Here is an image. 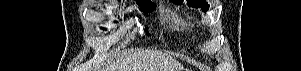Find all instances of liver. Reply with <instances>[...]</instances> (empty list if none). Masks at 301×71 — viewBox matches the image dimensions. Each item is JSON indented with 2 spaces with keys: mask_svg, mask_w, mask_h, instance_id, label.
<instances>
[{
  "mask_svg": "<svg viewBox=\"0 0 301 71\" xmlns=\"http://www.w3.org/2000/svg\"><path fill=\"white\" fill-rule=\"evenodd\" d=\"M183 65L168 55L140 51L111 62L98 71H182Z\"/></svg>",
  "mask_w": 301,
  "mask_h": 71,
  "instance_id": "liver-1",
  "label": "liver"
}]
</instances>
